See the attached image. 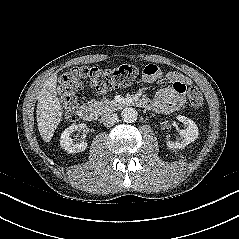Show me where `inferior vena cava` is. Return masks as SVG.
Listing matches in <instances>:
<instances>
[{
    "label": "inferior vena cava",
    "instance_id": "1",
    "mask_svg": "<svg viewBox=\"0 0 239 239\" xmlns=\"http://www.w3.org/2000/svg\"><path fill=\"white\" fill-rule=\"evenodd\" d=\"M101 121L105 126H113L115 123L118 122V116L116 113H105L101 117Z\"/></svg>",
    "mask_w": 239,
    "mask_h": 239
}]
</instances>
